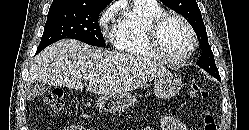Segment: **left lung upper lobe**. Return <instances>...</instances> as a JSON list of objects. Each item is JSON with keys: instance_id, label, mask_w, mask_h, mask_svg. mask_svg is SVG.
Listing matches in <instances>:
<instances>
[{"instance_id": "obj_1", "label": "left lung upper lobe", "mask_w": 249, "mask_h": 130, "mask_svg": "<svg viewBox=\"0 0 249 130\" xmlns=\"http://www.w3.org/2000/svg\"><path fill=\"white\" fill-rule=\"evenodd\" d=\"M162 3L172 10L180 13L193 27L202 50L201 57L196 64L206 72L220 79L218 69L214 61V55L208 43L207 32L203 23L201 11L195 0H162Z\"/></svg>"}]
</instances>
